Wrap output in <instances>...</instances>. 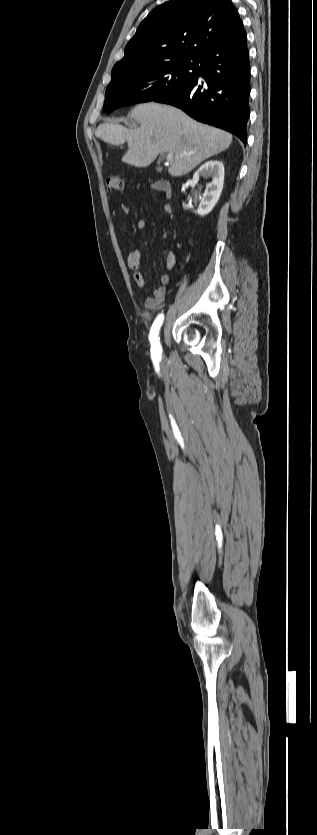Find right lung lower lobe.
I'll return each mask as SVG.
<instances>
[{"mask_svg":"<svg viewBox=\"0 0 317 835\" xmlns=\"http://www.w3.org/2000/svg\"><path fill=\"white\" fill-rule=\"evenodd\" d=\"M247 37L203 55L191 82L156 98L181 108L197 121L225 129L247 142L250 63ZM198 76L206 84L198 83Z\"/></svg>","mask_w":317,"mask_h":835,"instance_id":"right-lung-lower-lobe-1","label":"right lung lower lobe"}]
</instances>
